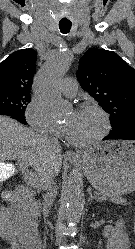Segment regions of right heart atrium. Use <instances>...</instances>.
Instances as JSON below:
<instances>
[{
    "instance_id": "right-heart-atrium-1",
    "label": "right heart atrium",
    "mask_w": 135,
    "mask_h": 249,
    "mask_svg": "<svg viewBox=\"0 0 135 249\" xmlns=\"http://www.w3.org/2000/svg\"><path fill=\"white\" fill-rule=\"evenodd\" d=\"M25 118L30 127L41 135L58 138L64 133L63 127L53 121L43 104L35 97L26 108Z\"/></svg>"
}]
</instances>
